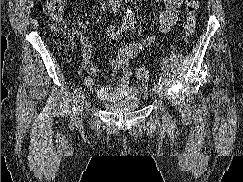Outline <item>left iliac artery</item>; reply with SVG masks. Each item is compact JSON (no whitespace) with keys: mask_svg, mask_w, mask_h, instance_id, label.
Instances as JSON below:
<instances>
[{"mask_svg":"<svg viewBox=\"0 0 243 182\" xmlns=\"http://www.w3.org/2000/svg\"><path fill=\"white\" fill-rule=\"evenodd\" d=\"M129 28H130V30H131L132 32H134V31H135V25H134V23H130V24H129ZM159 85L161 86V88H162L163 85H164V82H163L161 76H160V78H159Z\"/></svg>","mask_w":243,"mask_h":182,"instance_id":"1","label":"left iliac artery"}]
</instances>
